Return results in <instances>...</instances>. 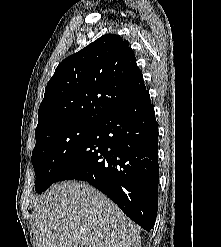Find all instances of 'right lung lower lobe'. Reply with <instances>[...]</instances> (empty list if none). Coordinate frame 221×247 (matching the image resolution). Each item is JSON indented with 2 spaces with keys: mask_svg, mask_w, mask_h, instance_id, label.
<instances>
[{
  "mask_svg": "<svg viewBox=\"0 0 221 247\" xmlns=\"http://www.w3.org/2000/svg\"><path fill=\"white\" fill-rule=\"evenodd\" d=\"M71 179L90 183L146 231L153 228L158 128L147 90L103 118L54 183Z\"/></svg>",
  "mask_w": 221,
  "mask_h": 247,
  "instance_id": "obj_1",
  "label": "right lung lower lobe"
}]
</instances>
